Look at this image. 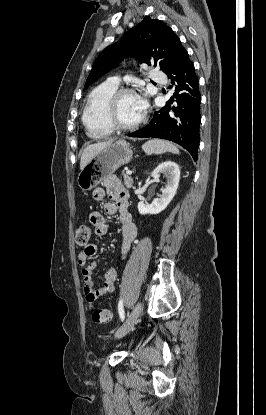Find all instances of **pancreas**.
Here are the masks:
<instances>
[{
	"label": "pancreas",
	"mask_w": 266,
	"mask_h": 415,
	"mask_svg": "<svg viewBox=\"0 0 266 415\" xmlns=\"http://www.w3.org/2000/svg\"><path fill=\"white\" fill-rule=\"evenodd\" d=\"M123 176L125 186L131 188L133 186V179L128 174H123Z\"/></svg>",
	"instance_id": "pancreas-1"
}]
</instances>
